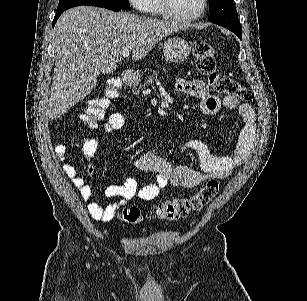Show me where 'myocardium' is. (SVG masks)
<instances>
[{
  "instance_id": "myocardium-1",
  "label": "myocardium",
  "mask_w": 307,
  "mask_h": 301,
  "mask_svg": "<svg viewBox=\"0 0 307 301\" xmlns=\"http://www.w3.org/2000/svg\"><path fill=\"white\" fill-rule=\"evenodd\" d=\"M164 4L158 7V17H166L167 22H195L197 17H202L205 12L206 0H200L198 11H169L170 0H162Z\"/></svg>"
}]
</instances>
